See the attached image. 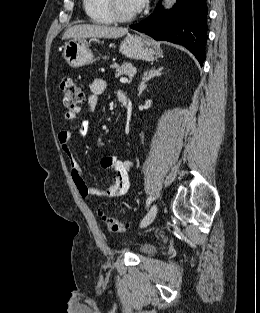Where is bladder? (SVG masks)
<instances>
[{"mask_svg": "<svg viewBox=\"0 0 260 313\" xmlns=\"http://www.w3.org/2000/svg\"><path fill=\"white\" fill-rule=\"evenodd\" d=\"M126 243L129 244L130 242L126 241ZM136 252L141 256H151L156 253V247L151 243H139Z\"/></svg>", "mask_w": 260, "mask_h": 313, "instance_id": "1", "label": "bladder"}]
</instances>
